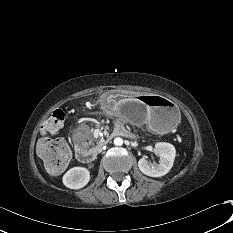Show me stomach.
Masks as SVG:
<instances>
[{"instance_id": "0dacf381", "label": "stomach", "mask_w": 233, "mask_h": 233, "mask_svg": "<svg viewBox=\"0 0 233 233\" xmlns=\"http://www.w3.org/2000/svg\"><path fill=\"white\" fill-rule=\"evenodd\" d=\"M104 103L117 117L136 126L146 125L158 134L169 132L180 120L177 105L161 95L107 97Z\"/></svg>"}]
</instances>
